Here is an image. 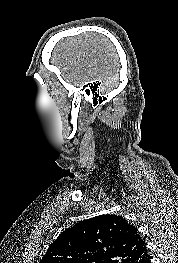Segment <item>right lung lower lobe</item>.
<instances>
[{
	"label": "right lung lower lobe",
	"mask_w": 178,
	"mask_h": 263,
	"mask_svg": "<svg viewBox=\"0 0 178 263\" xmlns=\"http://www.w3.org/2000/svg\"><path fill=\"white\" fill-rule=\"evenodd\" d=\"M143 263H151L150 262V256Z\"/></svg>",
	"instance_id": "98d812e1"
}]
</instances>
